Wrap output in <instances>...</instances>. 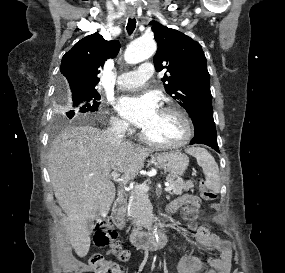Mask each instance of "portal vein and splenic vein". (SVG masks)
Instances as JSON below:
<instances>
[{"label": "portal vein and splenic vein", "mask_w": 285, "mask_h": 273, "mask_svg": "<svg viewBox=\"0 0 285 273\" xmlns=\"http://www.w3.org/2000/svg\"><path fill=\"white\" fill-rule=\"evenodd\" d=\"M111 176H112V178L117 179V178L119 177V174H118V172L113 171V172L111 173ZM137 188H138L139 190L144 191V192H146V191L149 190V186H148L147 184H145V183L139 185ZM171 190H172V185H171V184L166 185L165 191H166V192H170Z\"/></svg>", "instance_id": "portal-vein-and-splenic-vein-1"}]
</instances>
